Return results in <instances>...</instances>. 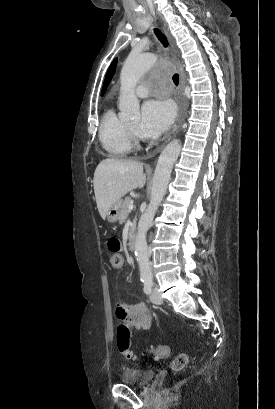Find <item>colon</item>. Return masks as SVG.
<instances>
[{
	"label": "colon",
	"instance_id": "obj_1",
	"mask_svg": "<svg viewBox=\"0 0 275 409\" xmlns=\"http://www.w3.org/2000/svg\"><path fill=\"white\" fill-rule=\"evenodd\" d=\"M107 248L111 252L112 267L114 270H121L123 267V259L121 250V242L117 236H112L107 240ZM155 349L150 351L152 358H167L169 356L170 344L168 342H158L155 344ZM188 363V356L185 353L177 355L171 363L173 371L182 370Z\"/></svg>",
	"mask_w": 275,
	"mask_h": 409
}]
</instances>
